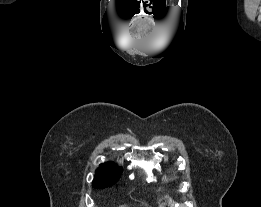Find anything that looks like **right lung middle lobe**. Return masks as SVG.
I'll list each match as a JSON object with an SVG mask.
<instances>
[{"mask_svg":"<svg viewBox=\"0 0 261 207\" xmlns=\"http://www.w3.org/2000/svg\"><path fill=\"white\" fill-rule=\"evenodd\" d=\"M122 173V168L115 166L112 168L97 169L92 186L96 189L105 188L115 184Z\"/></svg>","mask_w":261,"mask_h":207,"instance_id":"obj_1","label":"right lung middle lobe"}]
</instances>
